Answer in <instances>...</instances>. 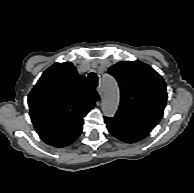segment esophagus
<instances>
[{
    "label": "esophagus",
    "mask_w": 194,
    "mask_h": 193,
    "mask_svg": "<svg viewBox=\"0 0 194 193\" xmlns=\"http://www.w3.org/2000/svg\"><path fill=\"white\" fill-rule=\"evenodd\" d=\"M97 92H98L99 96L102 97V86L100 84L97 87Z\"/></svg>",
    "instance_id": "34e87169"
}]
</instances>
